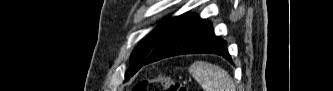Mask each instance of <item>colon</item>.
<instances>
[{
	"instance_id": "colon-1",
	"label": "colon",
	"mask_w": 333,
	"mask_h": 91,
	"mask_svg": "<svg viewBox=\"0 0 333 91\" xmlns=\"http://www.w3.org/2000/svg\"><path fill=\"white\" fill-rule=\"evenodd\" d=\"M152 84H157L162 91H188L180 82L161 74L154 79H144L136 83L133 91H148Z\"/></svg>"
}]
</instances>
